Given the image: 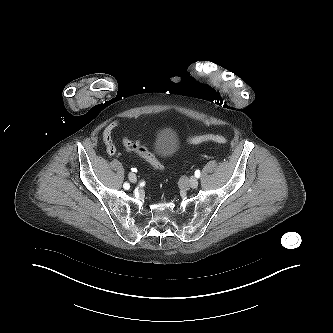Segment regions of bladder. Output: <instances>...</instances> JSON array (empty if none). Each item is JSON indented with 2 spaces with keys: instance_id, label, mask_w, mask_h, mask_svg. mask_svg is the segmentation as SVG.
I'll return each mask as SVG.
<instances>
[{
  "instance_id": "31cf9c89",
  "label": "bladder",
  "mask_w": 333,
  "mask_h": 333,
  "mask_svg": "<svg viewBox=\"0 0 333 333\" xmlns=\"http://www.w3.org/2000/svg\"><path fill=\"white\" fill-rule=\"evenodd\" d=\"M179 148L177 134L171 129L160 130L154 139L153 151L157 158L166 160L175 155Z\"/></svg>"
}]
</instances>
